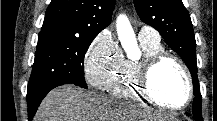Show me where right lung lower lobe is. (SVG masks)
Here are the masks:
<instances>
[{"instance_id": "98d812e1", "label": "right lung lower lobe", "mask_w": 217, "mask_h": 121, "mask_svg": "<svg viewBox=\"0 0 217 121\" xmlns=\"http://www.w3.org/2000/svg\"><path fill=\"white\" fill-rule=\"evenodd\" d=\"M64 84H73V83L64 79L52 80L34 89H31L27 92L29 121H31V119L35 115L38 106L40 105L41 101L46 96V94L53 88Z\"/></svg>"}]
</instances>
